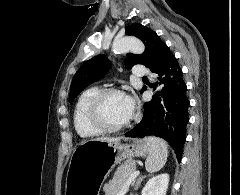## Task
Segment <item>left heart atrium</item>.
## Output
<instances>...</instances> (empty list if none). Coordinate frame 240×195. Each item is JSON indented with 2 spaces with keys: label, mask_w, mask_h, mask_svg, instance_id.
I'll return each instance as SVG.
<instances>
[{
  "label": "left heart atrium",
  "mask_w": 240,
  "mask_h": 195,
  "mask_svg": "<svg viewBox=\"0 0 240 195\" xmlns=\"http://www.w3.org/2000/svg\"><path fill=\"white\" fill-rule=\"evenodd\" d=\"M124 98H125V101H126L129 116L132 117L133 114H134V110H135L134 101H133L132 97H130L128 95L124 96Z\"/></svg>",
  "instance_id": "left-heart-atrium-1"
}]
</instances>
